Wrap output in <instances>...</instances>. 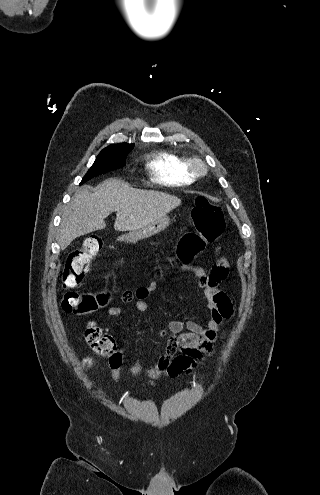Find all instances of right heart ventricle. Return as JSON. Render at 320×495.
Listing matches in <instances>:
<instances>
[{
	"label": "right heart ventricle",
	"mask_w": 320,
	"mask_h": 495,
	"mask_svg": "<svg viewBox=\"0 0 320 495\" xmlns=\"http://www.w3.org/2000/svg\"><path fill=\"white\" fill-rule=\"evenodd\" d=\"M147 167L153 180L163 185H188L196 178L188 170L187 158L168 150L153 153L147 162Z\"/></svg>",
	"instance_id": "e07e8e85"
}]
</instances>
